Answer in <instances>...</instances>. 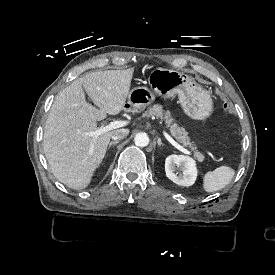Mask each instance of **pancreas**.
Returning a JSON list of instances; mask_svg holds the SVG:
<instances>
[{
  "label": "pancreas",
  "mask_w": 275,
  "mask_h": 275,
  "mask_svg": "<svg viewBox=\"0 0 275 275\" xmlns=\"http://www.w3.org/2000/svg\"><path fill=\"white\" fill-rule=\"evenodd\" d=\"M160 118L164 120L166 127L169 128L171 135L183 146L191 148L194 151V156L199 160H204V155L198 151H196V146L193 142L190 141V137L188 136V132L180 127L175 120L172 118L169 110H163L162 105L155 104L152 107H149L142 115V117H152Z\"/></svg>",
  "instance_id": "obj_1"
}]
</instances>
